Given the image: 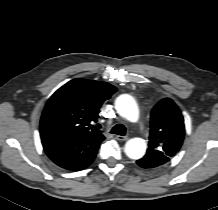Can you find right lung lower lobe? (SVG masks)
<instances>
[{"mask_svg":"<svg viewBox=\"0 0 218 210\" xmlns=\"http://www.w3.org/2000/svg\"><path fill=\"white\" fill-rule=\"evenodd\" d=\"M40 135L47 156L61 168L71 171L88 167L104 139L103 136L79 138L54 131L40 132Z\"/></svg>","mask_w":218,"mask_h":210,"instance_id":"1","label":"right lung lower lobe"}]
</instances>
